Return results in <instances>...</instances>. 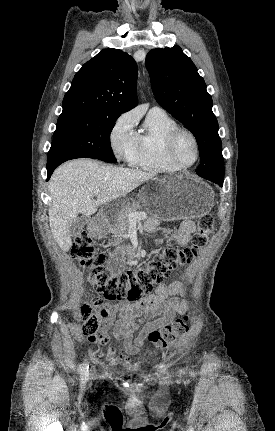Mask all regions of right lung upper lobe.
<instances>
[{
  "label": "right lung upper lobe",
  "mask_w": 275,
  "mask_h": 431,
  "mask_svg": "<svg viewBox=\"0 0 275 431\" xmlns=\"http://www.w3.org/2000/svg\"><path fill=\"white\" fill-rule=\"evenodd\" d=\"M137 65L127 53L104 49L75 74L62 102V114H122L137 105Z\"/></svg>",
  "instance_id": "1"
}]
</instances>
